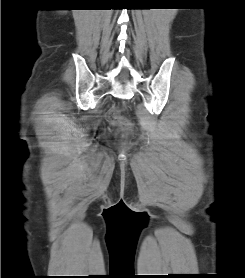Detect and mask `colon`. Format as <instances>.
Here are the masks:
<instances>
[{
    "instance_id": "obj_1",
    "label": "colon",
    "mask_w": 245,
    "mask_h": 278,
    "mask_svg": "<svg viewBox=\"0 0 245 278\" xmlns=\"http://www.w3.org/2000/svg\"><path fill=\"white\" fill-rule=\"evenodd\" d=\"M109 118L111 122L120 127H127L129 125L127 118L122 114L121 107H114L109 113Z\"/></svg>"
}]
</instances>
